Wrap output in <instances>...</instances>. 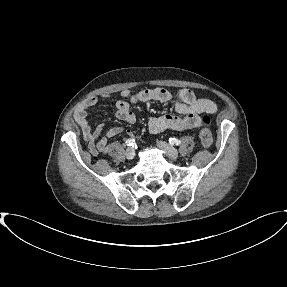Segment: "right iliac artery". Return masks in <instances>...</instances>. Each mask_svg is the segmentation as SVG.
<instances>
[{"mask_svg": "<svg viewBox=\"0 0 287 287\" xmlns=\"http://www.w3.org/2000/svg\"><path fill=\"white\" fill-rule=\"evenodd\" d=\"M135 144V139L133 138H129L127 141H126V145L127 146H133Z\"/></svg>", "mask_w": 287, "mask_h": 287, "instance_id": "obj_1", "label": "right iliac artery"}]
</instances>
